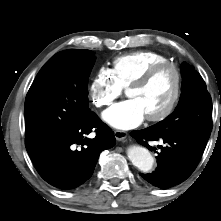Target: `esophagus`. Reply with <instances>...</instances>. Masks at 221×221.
I'll use <instances>...</instances> for the list:
<instances>
[{
	"label": "esophagus",
	"instance_id": "obj_1",
	"mask_svg": "<svg viewBox=\"0 0 221 221\" xmlns=\"http://www.w3.org/2000/svg\"><path fill=\"white\" fill-rule=\"evenodd\" d=\"M127 135H128L127 132L121 130H116L114 132V136L118 141H123L127 137Z\"/></svg>",
	"mask_w": 221,
	"mask_h": 221
}]
</instances>
